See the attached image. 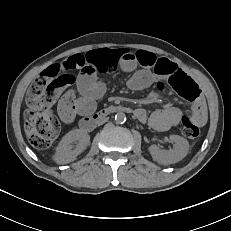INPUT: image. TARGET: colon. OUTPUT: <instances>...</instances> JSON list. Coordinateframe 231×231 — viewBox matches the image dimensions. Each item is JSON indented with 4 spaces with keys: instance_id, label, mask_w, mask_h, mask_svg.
Segmentation results:
<instances>
[{
    "instance_id": "colon-1",
    "label": "colon",
    "mask_w": 231,
    "mask_h": 231,
    "mask_svg": "<svg viewBox=\"0 0 231 231\" xmlns=\"http://www.w3.org/2000/svg\"><path fill=\"white\" fill-rule=\"evenodd\" d=\"M74 82L75 77L57 63L45 69L29 87L24 127L29 142L35 148H47L57 138L60 122L49 108L63 94L69 92V87ZM167 83L180 96L190 101H195L201 95L198 85L185 73L170 76ZM181 132L188 139H195L200 135L198 125L187 117L181 120Z\"/></svg>"
}]
</instances>
